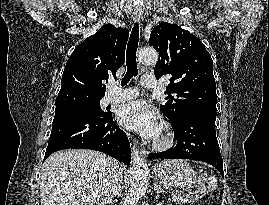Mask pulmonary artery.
<instances>
[{"instance_id":"obj_1","label":"pulmonary artery","mask_w":269,"mask_h":205,"mask_svg":"<svg viewBox=\"0 0 269 205\" xmlns=\"http://www.w3.org/2000/svg\"><path fill=\"white\" fill-rule=\"evenodd\" d=\"M141 85L144 88L151 89L156 86V79L153 76H144L141 78ZM138 92L133 88L122 89L115 83L109 84V91L102 99L104 105L131 100L137 97Z\"/></svg>"}]
</instances>
